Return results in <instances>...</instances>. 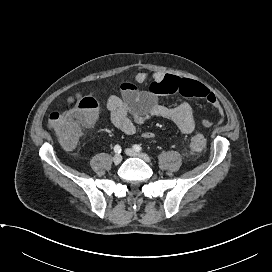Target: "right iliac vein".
Wrapping results in <instances>:
<instances>
[{"label": "right iliac vein", "instance_id": "1", "mask_svg": "<svg viewBox=\"0 0 272 272\" xmlns=\"http://www.w3.org/2000/svg\"><path fill=\"white\" fill-rule=\"evenodd\" d=\"M122 161V156L120 154H116L114 157H113V162L114 164L118 165L120 164Z\"/></svg>", "mask_w": 272, "mask_h": 272}]
</instances>
